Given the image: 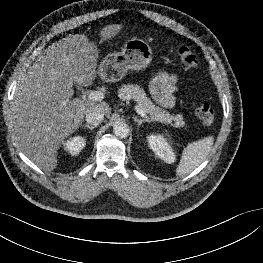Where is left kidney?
<instances>
[{"instance_id": "obj_1", "label": "left kidney", "mask_w": 263, "mask_h": 263, "mask_svg": "<svg viewBox=\"0 0 263 263\" xmlns=\"http://www.w3.org/2000/svg\"><path fill=\"white\" fill-rule=\"evenodd\" d=\"M148 143L150 148L160 159L167 163H173L175 161L174 152L162 135L148 136Z\"/></svg>"}]
</instances>
